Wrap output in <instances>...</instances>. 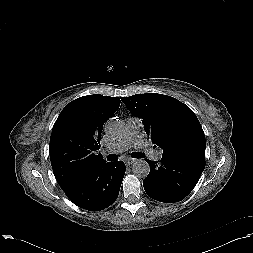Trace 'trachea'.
I'll return each mask as SVG.
<instances>
[{
	"instance_id": "3493384b",
	"label": "trachea",
	"mask_w": 253,
	"mask_h": 253,
	"mask_svg": "<svg viewBox=\"0 0 253 253\" xmlns=\"http://www.w3.org/2000/svg\"><path fill=\"white\" fill-rule=\"evenodd\" d=\"M132 157L133 158H144L145 154L144 153L134 152V153H132ZM107 160L116 161V160H118V156L114 155V154H110V155L107 156Z\"/></svg>"
}]
</instances>
